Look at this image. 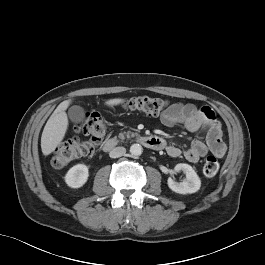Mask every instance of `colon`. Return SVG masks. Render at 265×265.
I'll return each mask as SVG.
<instances>
[{
	"label": "colon",
	"instance_id": "colon-1",
	"mask_svg": "<svg viewBox=\"0 0 265 265\" xmlns=\"http://www.w3.org/2000/svg\"><path fill=\"white\" fill-rule=\"evenodd\" d=\"M127 107L131 111L140 112L149 116L163 115L168 102L160 98L148 96L134 97L128 100ZM106 121L97 112L87 113L83 121L76 126V131L85 136V139L74 137L59 145L52 156L51 164L54 168H61L73 160L86 156L94 151L106 134ZM218 159L210 155L203 164V173L207 177L215 176L219 171Z\"/></svg>",
	"mask_w": 265,
	"mask_h": 265
}]
</instances>
